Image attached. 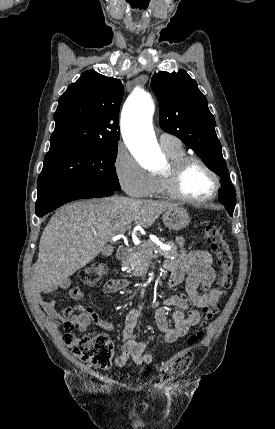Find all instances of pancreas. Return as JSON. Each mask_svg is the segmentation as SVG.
Returning <instances> with one entry per match:
<instances>
[{"label":"pancreas","mask_w":275,"mask_h":429,"mask_svg":"<svg viewBox=\"0 0 275 429\" xmlns=\"http://www.w3.org/2000/svg\"><path fill=\"white\" fill-rule=\"evenodd\" d=\"M171 248L169 250L160 249L151 240L143 241L139 247L132 250L129 258L123 263L128 268V272H132L134 276H139L143 271L147 270L151 259L154 257V250L166 259L177 256V247L172 243H167Z\"/></svg>","instance_id":"cf45deb5"}]
</instances>
